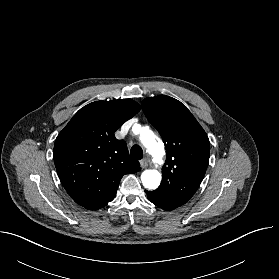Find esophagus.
<instances>
[{
	"label": "esophagus",
	"instance_id": "esophagus-1",
	"mask_svg": "<svg viewBox=\"0 0 279 279\" xmlns=\"http://www.w3.org/2000/svg\"><path fill=\"white\" fill-rule=\"evenodd\" d=\"M140 164H141V167L142 168H147L148 165H149V159L147 157L143 158L141 161H140Z\"/></svg>",
	"mask_w": 279,
	"mask_h": 279
}]
</instances>
